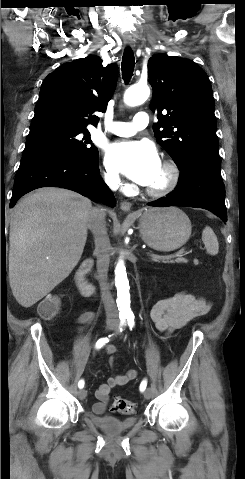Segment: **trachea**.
I'll list each match as a JSON object with an SVG mask.
<instances>
[{"label":"trachea","instance_id":"3493384b","mask_svg":"<svg viewBox=\"0 0 245 479\" xmlns=\"http://www.w3.org/2000/svg\"><path fill=\"white\" fill-rule=\"evenodd\" d=\"M121 66L123 79L125 80V82H128L133 75L135 66V57L129 47L124 50Z\"/></svg>","mask_w":245,"mask_h":479}]
</instances>
